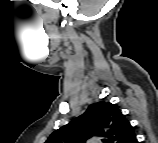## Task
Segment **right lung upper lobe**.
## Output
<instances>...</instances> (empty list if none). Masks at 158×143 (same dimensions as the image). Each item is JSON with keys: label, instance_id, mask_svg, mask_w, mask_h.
I'll return each instance as SVG.
<instances>
[{"label": "right lung upper lobe", "instance_id": "right-lung-upper-lobe-1", "mask_svg": "<svg viewBox=\"0 0 158 143\" xmlns=\"http://www.w3.org/2000/svg\"><path fill=\"white\" fill-rule=\"evenodd\" d=\"M105 138L107 143H133L134 129L112 103L92 104L79 117L55 130L46 143H85L89 138Z\"/></svg>", "mask_w": 158, "mask_h": 143}]
</instances>
